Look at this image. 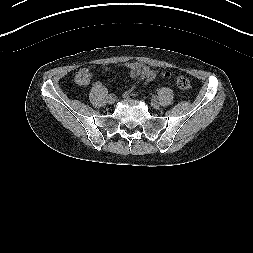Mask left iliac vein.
<instances>
[{
  "instance_id": "left-iliac-vein-1",
  "label": "left iliac vein",
  "mask_w": 253,
  "mask_h": 253,
  "mask_svg": "<svg viewBox=\"0 0 253 253\" xmlns=\"http://www.w3.org/2000/svg\"><path fill=\"white\" fill-rule=\"evenodd\" d=\"M151 104H152L153 108H155V109L159 108V103L157 102V100H152Z\"/></svg>"
}]
</instances>
